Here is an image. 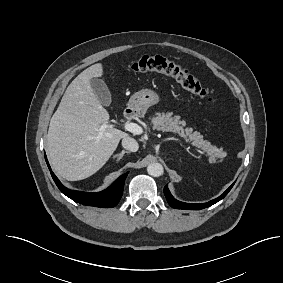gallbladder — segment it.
<instances>
[{
	"label": "gallbladder",
	"mask_w": 283,
	"mask_h": 283,
	"mask_svg": "<svg viewBox=\"0 0 283 283\" xmlns=\"http://www.w3.org/2000/svg\"><path fill=\"white\" fill-rule=\"evenodd\" d=\"M91 86L99 102L103 106H109L111 104V93L102 79H91Z\"/></svg>",
	"instance_id": "gallbladder-1"
}]
</instances>
